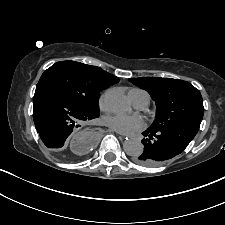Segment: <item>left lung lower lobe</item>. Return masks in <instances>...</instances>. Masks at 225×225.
Wrapping results in <instances>:
<instances>
[{"instance_id":"1","label":"left lung lower lobe","mask_w":225,"mask_h":225,"mask_svg":"<svg viewBox=\"0 0 225 225\" xmlns=\"http://www.w3.org/2000/svg\"><path fill=\"white\" fill-rule=\"evenodd\" d=\"M199 123H183L161 131L147 129L142 134L144 150L134 160L146 166H158L182 153L195 137Z\"/></svg>"}]
</instances>
